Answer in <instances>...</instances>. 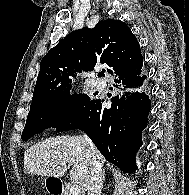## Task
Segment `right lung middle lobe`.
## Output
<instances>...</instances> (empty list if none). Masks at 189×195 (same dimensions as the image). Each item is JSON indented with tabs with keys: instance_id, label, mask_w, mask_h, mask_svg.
Segmentation results:
<instances>
[{
	"instance_id": "right-lung-middle-lobe-1",
	"label": "right lung middle lobe",
	"mask_w": 189,
	"mask_h": 195,
	"mask_svg": "<svg viewBox=\"0 0 189 195\" xmlns=\"http://www.w3.org/2000/svg\"><path fill=\"white\" fill-rule=\"evenodd\" d=\"M70 89H65L31 104L21 136L23 140H27L47 128L60 126L91 100L86 94L69 95Z\"/></svg>"
}]
</instances>
